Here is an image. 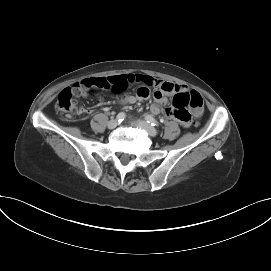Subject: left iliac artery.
I'll use <instances>...</instances> for the list:
<instances>
[{"mask_svg":"<svg viewBox=\"0 0 271 271\" xmlns=\"http://www.w3.org/2000/svg\"><path fill=\"white\" fill-rule=\"evenodd\" d=\"M145 119L148 123L151 124V126H158L159 125L158 121L155 118H153L151 115H145Z\"/></svg>","mask_w":271,"mask_h":271,"instance_id":"1","label":"left iliac artery"}]
</instances>
